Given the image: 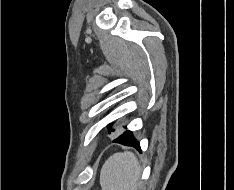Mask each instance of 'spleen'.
I'll return each instance as SVG.
<instances>
[{"label": "spleen", "instance_id": "3e777b00", "mask_svg": "<svg viewBox=\"0 0 234 190\" xmlns=\"http://www.w3.org/2000/svg\"><path fill=\"white\" fill-rule=\"evenodd\" d=\"M140 173L139 162L132 152L116 153L101 169L102 190H137Z\"/></svg>", "mask_w": 234, "mask_h": 190}]
</instances>
